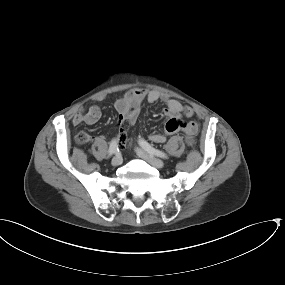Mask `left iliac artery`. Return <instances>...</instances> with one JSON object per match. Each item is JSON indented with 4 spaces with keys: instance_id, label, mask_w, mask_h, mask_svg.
I'll return each mask as SVG.
<instances>
[{
    "instance_id": "obj_1",
    "label": "left iliac artery",
    "mask_w": 285,
    "mask_h": 285,
    "mask_svg": "<svg viewBox=\"0 0 285 285\" xmlns=\"http://www.w3.org/2000/svg\"><path fill=\"white\" fill-rule=\"evenodd\" d=\"M139 144L141 147H143L149 154H152V155H156L160 158H163V159H167L168 158V155L161 151V150H158L156 148H154L153 146H151L147 141H145L144 139H139Z\"/></svg>"
}]
</instances>
